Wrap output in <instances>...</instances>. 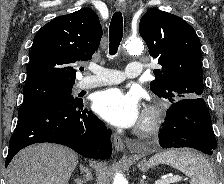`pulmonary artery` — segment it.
I'll use <instances>...</instances> for the list:
<instances>
[{
  "label": "pulmonary artery",
  "mask_w": 224,
  "mask_h": 184,
  "mask_svg": "<svg viewBox=\"0 0 224 184\" xmlns=\"http://www.w3.org/2000/svg\"><path fill=\"white\" fill-rule=\"evenodd\" d=\"M89 69L94 73V75L83 77L78 82L79 89H91L105 85L117 84L125 79L140 76L142 71L141 64L136 61H131L128 64L125 73L98 65H92Z\"/></svg>",
  "instance_id": "obj_1"
}]
</instances>
